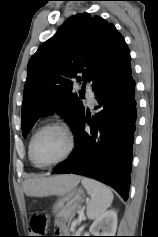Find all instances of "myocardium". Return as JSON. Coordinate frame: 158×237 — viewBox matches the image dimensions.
<instances>
[{"label": "myocardium", "mask_w": 158, "mask_h": 237, "mask_svg": "<svg viewBox=\"0 0 158 237\" xmlns=\"http://www.w3.org/2000/svg\"><path fill=\"white\" fill-rule=\"evenodd\" d=\"M53 128H58V129H61L62 131L65 132V134L67 135V138H68V147H67L66 151L64 152V154L61 157H59L58 159L48 162V163H40L36 160V158L34 156L35 140L43 131L48 130V129H53ZM74 148H75V135H74L72 129L69 127V125H67L64 122L54 121V122H50V123L43 125L32 136V138L30 140V144H29V157H30L31 162L36 167L48 168V167H52L54 165H57V164L63 162L64 160H66L72 154Z\"/></svg>", "instance_id": "obj_1"}]
</instances>
